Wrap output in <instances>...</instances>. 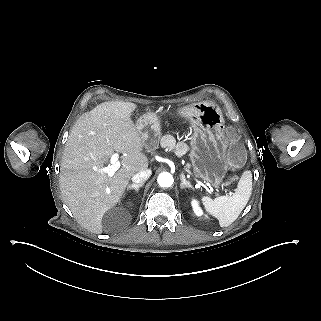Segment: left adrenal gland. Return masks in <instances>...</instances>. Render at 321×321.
<instances>
[{"mask_svg":"<svg viewBox=\"0 0 321 321\" xmlns=\"http://www.w3.org/2000/svg\"><path fill=\"white\" fill-rule=\"evenodd\" d=\"M180 178H181V184H180V188H181V189L191 188V189L194 190V187L190 184V182L185 179L184 174H181V175H180Z\"/></svg>","mask_w":321,"mask_h":321,"instance_id":"left-adrenal-gland-1","label":"left adrenal gland"}]
</instances>
